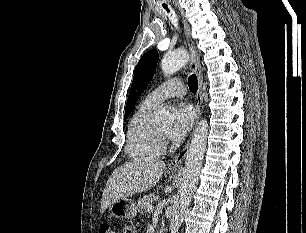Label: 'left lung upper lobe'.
<instances>
[{
	"label": "left lung upper lobe",
	"instance_id": "1",
	"mask_svg": "<svg viewBox=\"0 0 306 233\" xmlns=\"http://www.w3.org/2000/svg\"><path fill=\"white\" fill-rule=\"evenodd\" d=\"M158 59V52L156 50H150L142 56L139 63L137 64L134 72L133 82L130 88L129 97L125 107L124 120L130 115L138 98L152 78Z\"/></svg>",
	"mask_w": 306,
	"mask_h": 233
}]
</instances>
